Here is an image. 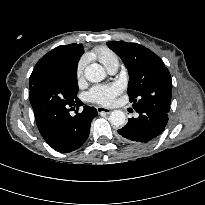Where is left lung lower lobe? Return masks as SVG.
<instances>
[{
  "instance_id": "obj_1",
  "label": "left lung lower lobe",
  "mask_w": 205,
  "mask_h": 205,
  "mask_svg": "<svg viewBox=\"0 0 205 205\" xmlns=\"http://www.w3.org/2000/svg\"><path fill=\"white\" fill-rule=\"evenodd\" d=\"M138 118L129 119L118 130L121 139L133 146H144L153 142L165 129L168 113L154 108H139Z\"/></svg>"
}]
</instances>
